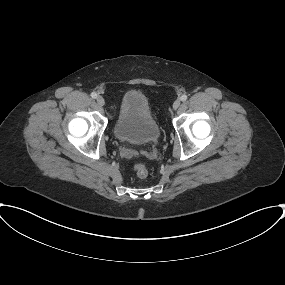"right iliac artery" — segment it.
<instances>
[{
  "label": "right iliac artery",
  "mask_w": 285,
  "mask_h": 285,
  "mask_svg": "<svg viewBox=\"0 0 285 285\" xmlns=\"http://www.w3.org/2000/svg\"><path fill=\"white\" fill-rule=\"evenodd\" d=\"M91 97L95 99V98H97V94L95 92H92Z\"/></svg>",
  "instance_id": "obj_1"
}]
</instances>
